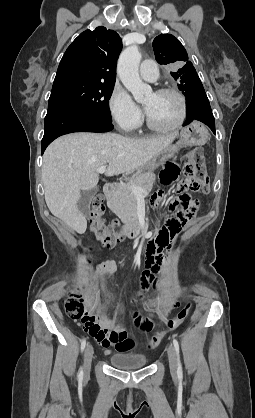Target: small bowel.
<instances>
[{
	"label": "small bowel",
	"mask_w": 255,
	"mask_h": 418,
	"mask_svg": "<svg viewBox=\"0 0 255 418\" xmlns=\"http://www.w3.org/2000/svg\"><path fill=\"white\" fill-rule=\"evenodd\" d=\"M177 174V166L175 164H167L161 172V181L165 184L169 183L176 178ZM186 224L187 222L180 221V227L175 232L173 227H162V235L159 237L151 235L150 240L145 242L143 254L146 256V269L142 276L143 289H147L150 286L153 288H158L160 286L159 275L161 267L166 261L165 255L174 254L173 248L175 247V242L171 239L176 236ZM115 268L116 264L113 260L102 262L100 264L101 279L114 271ZM139 298L140 294L135 297L134 301L137 302ZM179 306L180 300L175 298L169 305H165L162 317L167 319L170 314H174ZM89 313L93 314V309H90ZM99 320L102 322V326L98 324ZM134 320L137 326L149 329V324L143 322L137 313L134 314ZM86 331L105 348L107 353L111 348H115L119 352H126L131 350L135 345L134 339L127 332L126 325L119 321L118 317L107 319L104 311H101L97 316V327L93 330Z\"/></svg>",
	"instance_id": "1"
}]
</instances>
